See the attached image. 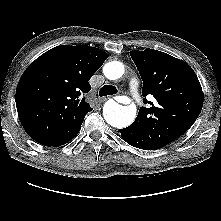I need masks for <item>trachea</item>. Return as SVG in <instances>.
Returning a JSON list of instances; mask_svg holds the SVG:
<instances>
[{
    "instance_id": "1",
    "label": "trachea",
    "mask_w": 221,
    "mask_h": 221,
    "mask_svg": "<svg viewBox=\"0 0 221 221\" xmlns=\"http://www.w3.org/2000/svg\"><path fill=\"white\" fill-rule=\"evenodd\" d=\"M116 93L117 89L113 85H104L99 91L100 96L114 95Z\"/></svg>"
}]
</instances>
